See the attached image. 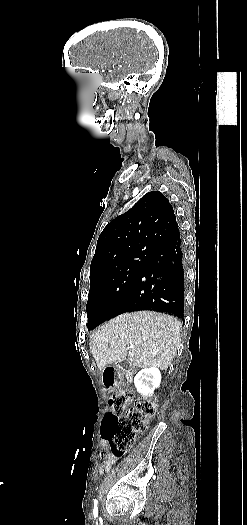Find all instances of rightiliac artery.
I'll use <instances>...</instances> for the list:
<instances>
[{
	"instance_id": "82829eb1",
	"label": "right iliac artery",
	"mask_w": 247,
	"mask_h": 525,
	"mask_svg": "<svg viewBox=\"0 0 247 525\" xmlns=\"http://www.w3.org/2000/svg\"><path fill=\"white\" fill-rule=\"evenodd\" d=\"M97 500L95 499L94 500V509H93V513H94V517H96L98 515V507H97Z\"/></svg>"
}]
</instances>
